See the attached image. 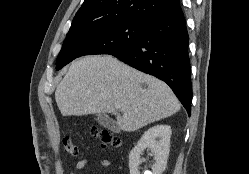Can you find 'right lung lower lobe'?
<instances>
[{"label": "right lung lower lobe", "mask_w": 249, "mask_h": 174, "mask_svg": "<svg viewBox=\"0 0 249 174\" xmlns=\"http://www.w3.org/2000/svg\"><path fill=\"white\" fill-rule=\"evenodd\" d=\"M189 36L182 11L146 21L141 37L122 52L110 53L130 66L166 82L191 114Z\"/></svg>", "instance_id": "right-lung-lower-lobe-1"}]
</instances>
